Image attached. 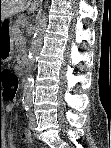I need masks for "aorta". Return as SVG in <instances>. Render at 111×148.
Here are the masks:
<instances>
[{
	"label": "aorta",
	"instance_id": "1",
	"mask_svg": "<svg viewBox=\"0 0 111 148\" xmlns=\"http://www.w3.org/2000/svg\"><path fill=\"white\" fill-rule=\"evenodd\" d=\"M47 26V16L45 12L39 14L37 18V23L35 27L34 36L32 39L31 47L29 50V67L26 74V79L23 86V103L31 104L34 100V85H33V76L32 70L34 68L35 62L38 58L39 52L43 43V36Z\"/></svg>",
	"mask_w": 111,
	"mask_h": 148
}]
</instances>
